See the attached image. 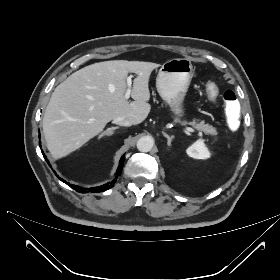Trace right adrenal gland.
<instances>
[{"label": "right adrenal gland", "mask_w": 280, "mask_h": 280, "mask_svg": "<svg viewBox=\"0 0 280 280\" xmlns=\"http://www.w3.org/2000/svg\"><path fill=\"white\" fill-rule=\"evenodd\" d=\"M119 127H110V128H107V130H105L104 132H102L100 135H99V138H102L104 136H111L113 135L114 133V130L118 129Z\"/></svg>", "instance_id": "1"}]
</instances>
